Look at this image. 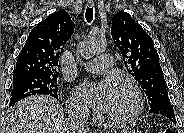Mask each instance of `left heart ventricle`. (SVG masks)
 I'll list each match as a JSON object with an SVG mask.
<instances>
[{
	"label": "left heart ventricle",
	"instance_id": "left-heart-ventricle-1",
	"mask_svg": "<svg viewBox=\"0 0 184 133\" xmlns=\"http://www.w3.org/2000/svg\"><path fill=\"white\" fill-rule=\"evenodd\" d=\"M132 107V96L128 92L117 89L115 97L105 113L111 117H122L130 112Z\"/></svg>",
	"mask_w": 184,
	"mask_h": 133
}]
</instances>
